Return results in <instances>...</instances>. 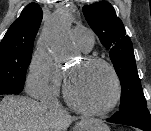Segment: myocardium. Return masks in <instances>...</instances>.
Returning <instances> with one entry per match:
<instances>
[{
    "mask_svg": "<svg viewBox=\"0 0 151 131\" xmlns=\"http://www.w3.org/2000/svg\"><path fill=\"white\" fill-rule=\"evenodd\" d=\"M83 63L86 65L99 64L104 66L109 71L114 86L113 96L111 100L108 102V104H106L101 108H91L85 106L72 96L69 90L68 78H66L63 86V94L65 100L72 108L86 115H91V116L107 115L117 107L122 97V85L118 73L116 72L114 66L109 61L98 56H93V55L85 56L83 58Z\"/></svg>",
    "mask_w": 151,
    "mask_h": 131,
    "instance_id": "myocardium-1",
    "label": "myocardium"
}]
</instances>
